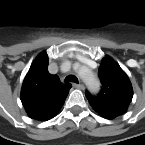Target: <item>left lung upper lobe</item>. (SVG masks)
Instances as JSON below:
<instances>
[{
    "instance_id": "5c2ea615",
    "label": "left lung upper lobe",
    "mask_w": 145,
    "mask_h": 145,
    "mask_svg": "<svg viewBox=\"0 0 145 145\" xmlns=\"http://www.w3.org/2000/svg\"><path fill=\"white\" fill-rule=\"evenodd\" d=\"M99 77L103 88L97 96L86 92V97L93 109L106 119L126 112L132 97L133 89L126 73L110 57L103 58Z\"/></svg>"
}]
</instances>
